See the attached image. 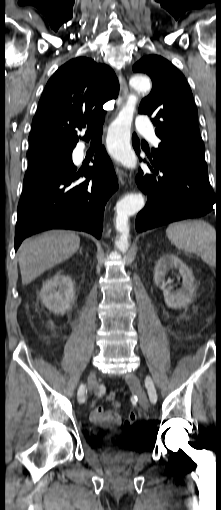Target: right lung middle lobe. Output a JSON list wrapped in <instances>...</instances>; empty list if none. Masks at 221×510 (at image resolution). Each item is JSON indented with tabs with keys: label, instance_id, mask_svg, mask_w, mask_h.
Here are the masks:
<instances>
[{
	"label": "right lung middle lobe",
	"instance_id": "right-lung-middle-lobe-1",
	"mask_svg": "<svg viewBox=\"0 0 221 510\" xmlns=\"http://www.w3.org/2000/svg\"><path fill=\"white\" fill-rule=\"evenodd\" d=\"M28 170H36L52 166H66L71 159V148L48 147L27 153Z\"/></svg>",
	"mask_w": 221,
	"mask_h": 510
}]
</instances>
